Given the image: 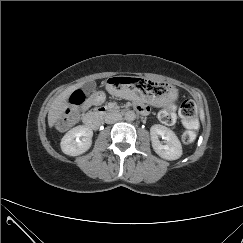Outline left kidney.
Instances as JSON below:
<instances>
[{
  "instance_id": "left-kidney-1",
  "label": "left kidney",
  "mask_w": 243,
  "mask_h": 243,
  "mask_svg": "<svg viewBox=\"0 0 243 243\" xmlns=\"http://www.w3.org/2000/svg\"><path fill=\"white\" fill-rule=\"evenodd\" d=\"M151 142L154 151L165 160H176L182 156V146L176 134L169 128L155 124L150 128ZM159 136L166 144H162Z\"/></svg>"
}]
</instances>
